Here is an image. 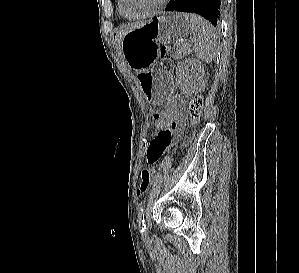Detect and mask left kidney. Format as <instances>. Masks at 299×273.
Wrapping results in <instances>:
<instances>
[{
	"label": "left kidney",
	"mask_w": 299,
	"mask_h": 273,
	"mask_svg": "<svg viewBox=\"0 0 299 273\" xmlns=\"http://www.w3.org/2000/svg\"><path fill=\"white\" fill-rule=\"evenodd\" d=\"M177 81L183 93L192 95L206 86L204 65L195 58L185 59L177 68Z\"/></svg>",
	"instance_id": "5707ae66"
}]
</instances>
